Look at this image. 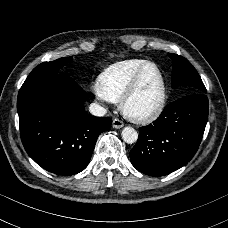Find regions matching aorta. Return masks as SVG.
Returning <instances> with one entry per match:
<instances>
[{
  "label": "aorta",
  "instance_id": "aorta-1",
  "mask_svg": "<svg viewBox=\"0 0 228 228\" xmlns=\"http://www.w3.org/2000/svg\"><path fill=\"white\" fill-rule=\"evenodd\" d=\"M122 139L127 144L136 143L138 140V133L132 127H126L122 131Z\"/></svg>",
  "mask_w": 228,
  "mask_h": 228
}]
</instances>
